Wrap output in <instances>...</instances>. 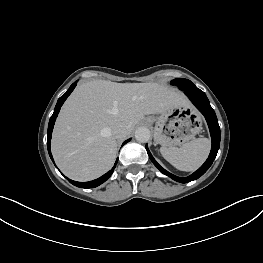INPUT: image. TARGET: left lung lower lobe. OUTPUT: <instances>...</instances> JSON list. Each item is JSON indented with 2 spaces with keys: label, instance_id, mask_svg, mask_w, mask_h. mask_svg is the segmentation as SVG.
Instances as JSON below:
<instances>
[{
  "label": "left lung lower lobe",
  "instance_id": "0a47b994",
  "mask_svg": "<svg viewBox=\"0 0 263 263\" xmlns=\"http://www.w3.org/2000/svg\"><path fill=\"white\" fill-rule=\"evenodd\" d=\"M184 93L189 97V99L197 107V109L204 115V117L206 118V121L208 123L209 129H210V134H211V138H212V148H211L210 155H209L208 159L206 160V162L197 171H195L192 175L185 177V178L177 177V176L169 173L168 171H166L164 168H162L156 162V160L151 155V153L148 149V146L146 145L147 153L150 157V160L153 162V164L163 174L169 176L173 180L178 181L180 183H187V182L196 180L200 176H202L209 169L211 164L213 163V161L217 155L219 146H220V127L218 124L216 114H215L214 110L212 109V107L210 106L209 100L206 97L205 93L198 88L192 89V90H184Z\"/></svg>",
  "mask_w": 263,
  "mask_h": 263
}]
</instances>
